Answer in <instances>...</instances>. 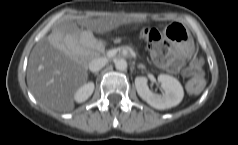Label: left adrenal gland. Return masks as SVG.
Segmentation results:
<instances>
[{"label":"left adrenal gland","mask_w":238,"mask_h":145,"mask_svg":"<svg viewBox=\"0 0 238 145\" xmlns=\"http://www.w3.org/2000/svg\"><path fill=\"white\" fill-rule=\"evenodd\" d=\"M138 68L144 69L145 67L143 65H139Z\"/></svg>","instance_id":"1"}]
</instances>
